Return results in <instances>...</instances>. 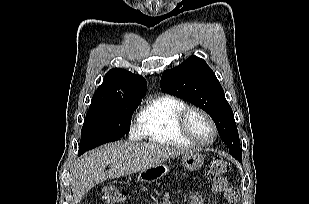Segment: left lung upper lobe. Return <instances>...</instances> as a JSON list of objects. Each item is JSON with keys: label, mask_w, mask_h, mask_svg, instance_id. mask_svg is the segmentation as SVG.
I'll use <instances>...</instances> for the list:
<instances>
[{"label": "left lung upper lobe", "mask_w": 309, "mask_h": 204, "mask_svg": "<svg viewBox=\"0 0 309 204\" xmlns=\"http://www.w3.org/2000/svg\"><path fill=\"white\" fill-rule=\"evenodd\" d=\"M161 90L182 98L206 111L214 120L229 153L242 158L233 111L221 84L206 62L191 56L179 66L167 69L161 77Z\"/></svg>", "instance_id": "1"}]
</instances>
